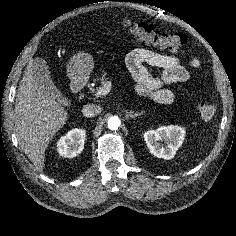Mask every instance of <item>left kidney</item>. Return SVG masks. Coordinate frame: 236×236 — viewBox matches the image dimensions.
Returning <instances> with one entry per match:
<instances>
[{"label":"left kidney","instance_id":"1","mask_svg":"<svg viewBox=\"0 0 236 236\" xmlns=\"http://www.w3.org/2000/svg\"><path fill=\"white\" fill-rule=\"evenodd\" d=\"M185 129L177 125L161 126L144 133V140L152 155L166 160L172 159L185 138ZM159 141H164L161 145Z\"/></svg>","mask_w":236,"mask_h":236}]
</instances>
